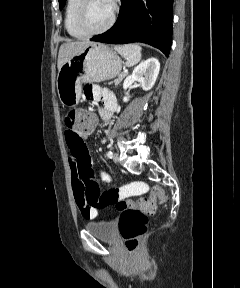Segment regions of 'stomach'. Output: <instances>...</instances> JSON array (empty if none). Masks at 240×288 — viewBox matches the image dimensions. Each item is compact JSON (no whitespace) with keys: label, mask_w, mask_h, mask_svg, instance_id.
<instances>
[{"label":"stomach","mask_w":240,"mask_h":288,"mask_svg":"<svg viewBox=\"0 0 240 288\" xmlns=\"http://www.w3.org/2000/svg\"><path fill=\"white\" fill-rule=\"evenodd\" d=\"M122 69L120 57L108 46L91 43L60 68L56 88L63 106L78 104L82 83L101 82L116 77Z\"/></svg>","instance_id":"1"}]
</instances>
